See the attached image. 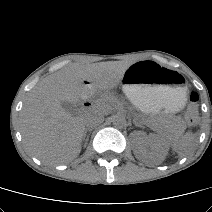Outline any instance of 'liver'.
<instances>
[{"mask_svg": "<svg viewBox=\"0 0 212 212\" xmlns=\"http://www.w3.org/2000/svg\"><path fill=\"white\" fill-rule=\"evenodd\" d=\"M129 66L124 61L72 64L39 82L21 111L20 129L26 149L47 165L75 159L81 151L85 115L72 116L61 103L76 104L87 89H114ZM94 110L103 113L101 106Z\"/></svg>", "mask_w": 212, "mask_h": 212, "instance_id": "obj_1", "label": "liver"}]
</instances>
